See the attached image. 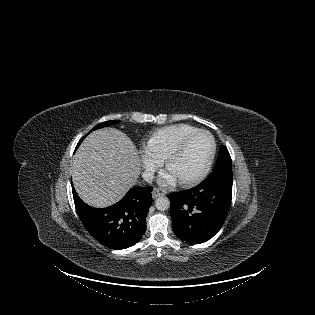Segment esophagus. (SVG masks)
Wrapping results in <instances>:
<instances>
[{"instance_id":"esophagus-1","label":"esophagus","mask_w":315,"mask_h":315,"mask_svg":"<svg viewBox=\"0 0 315 315\" xmlns=\"http://www.w3.org/2000/svg\"><path fill=\"white\" fill-rule=\"evenodd\" d=\"M166 194V191L160 188H154L152 191V197L157 198Z\"/></svg>"}]
</instances>
